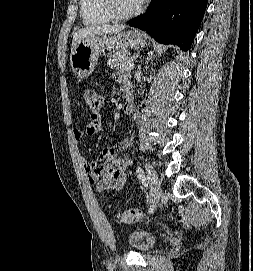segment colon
Segmentation results:
<instances>
[{"mask_svg": "<svg viewBox=\"0 0 253 271\" xmlns=\"http://www.w3.org/2000/svg\"><path fill=\"white\" fill-rule=\"evenodd\" d=\"M83 98L94 113H98L102 107V97L94 89L86 88L83 91ZM142 213L138 208H130L118 213L117 218L121 223L132 224L136 223L141 219Z\"/></svg>", "mask_w": 253, "mask_h": 271, "instance_id": "colon-1", "label": "colon"}]
</instances>
